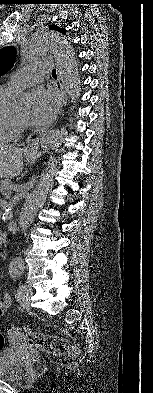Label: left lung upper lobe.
I'll return each instance as SVG.
<instances>
[{"mask_svg":"<svg viewBox=\"0 0 153 393\" xmlns=\"http://www.w3.org/2000/svg\"><path fill=\"white\" fill-rule=\"evenodd\" d=\"M49 28L65 34V30L63 28H58L56 25H51ZM15 57V49L11 46L0 50V77L11 69L15 62Z\"/></svg>","mask_w":153,"mask_h":393,"instance_id":"obj_1","label":"left lung upper lobe"}]
</instances>
